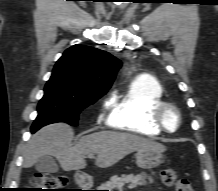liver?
Returning <instances> with one entry per match:
<instances>
[{
  "label": "liver",
  "mask_w": 218,
  "mask_h": 191,
  "mask_svg": "<svg viewBox=\"0 0 218 191\" xmlns=\"http://www.w3.org/2000/svg\"><path fill=\"white\" fill-rule=\"evenodd\" d=\"M73 129L65 123L43 127L28 142L23 158V167L33 166L42 156H54L65 171L80 170L86 167L85 157L97 154L96 166L108 168L126 155L139 150L166 151L165 146L141 136L99 131L83 136L74 146Z\"/></svg>",
  "instance_id": "6515ba94"
}]
</instances>
